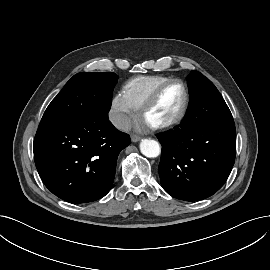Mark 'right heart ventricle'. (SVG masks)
I'll return each instance as SVG.
<instances>
[{
	"instance_id": "e07e8e85",
	"label": "right heart ventricle",
	"mask_w": 270,
	"mask_h": 270,
	"mask_svg": "<svg viewBox=\"0 0 270 270\" xmlns=\"http://www.w3.org/2000/svg\"><path fill=\"white\" fill-rule=\"evenodd\" d=\"M169 79L172 78L162 75L136 76L124 84L123 92L135 110H139L153 91Z\"/></svg>"
}]
</instances>
